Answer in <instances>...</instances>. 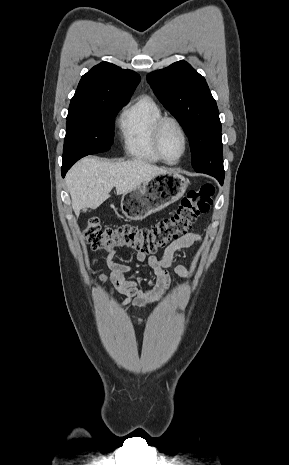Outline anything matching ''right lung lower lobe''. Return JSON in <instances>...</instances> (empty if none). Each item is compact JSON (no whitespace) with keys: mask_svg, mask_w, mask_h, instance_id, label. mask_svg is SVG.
<instances>
[{"mask_svg":"<svg viewBox=\"0 0 289 465\" xmlns=\"http://www.w3.org/2000/svg\"><path fill=\"white\" fill-rule=\"evenodd\" d=\"M79 159H74V160H71V161H63V164H62V177L65 176L66 172L71 168V166Z\"/></svg>","mask_w":289,"mask_h":465,"instance_id":"1","label":"right lung lower lobe"}]
</instances>
